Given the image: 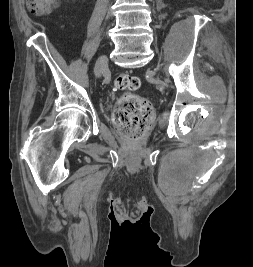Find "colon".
<instances>
[{
  "mask_svg": "<svg viewBox=\"0 0 253 267\" xmlns=\"http://www.w3.org/2000/svg\"><path fill=\"white\" fill-rule=\"evenodd\" d=\"M56 5L57 0H27L29 11L38 16L50 13ZM140 85V79L129 74H120L115 79V86L126 94L117 103L113 121L119 132L132 141L140 139L151 123L150 102L131 93Z\"/></svg>",
  "mask_w": 253,
  "mask_h": 267,
  "instance_id": "5ec220e1",
  "label": "colon"
}]
</instances>
